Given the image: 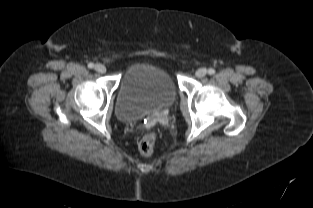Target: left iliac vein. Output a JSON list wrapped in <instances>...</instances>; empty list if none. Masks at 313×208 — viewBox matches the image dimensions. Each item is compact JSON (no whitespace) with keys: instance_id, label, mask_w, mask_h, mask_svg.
<instances>
[{"instance_id":"1","label":"left iliac vein","mask_w":313,"mask_h":208,"mask_svg":"<svg viewBox=\"0 0 313 208\" xmlns=\"http://www.w3.org/2000/svg\"><path fill=\"white\" fill-rule=\"evenodd\" d=\"M195 74L197 77L202 78L207 74V70L205 68H200L196 71Z\"/></svg>"}]
</instances>
